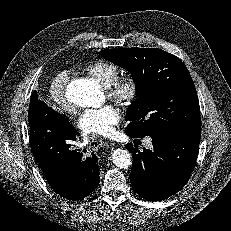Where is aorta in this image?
<instances>
[{
  "label": "aorta",
  "mask_w": 231,
  "mask_h": 231,
  "mask_svg": "<svg viewBox=\"0 0 231 231\" xmlns=\"http://www.w3.org/2000/svg\"><path fill=\"white\" fill-rule=\"evenodd\" d=\"M66 99L76 107H99L104 100V95L98 85L87 79L71 81L65 92ZM112 162L121 169H127L132 164L131 154L125 149H116L112 153Z\"/></svg>",
  "instance_id": "1"
}]
</instances>
